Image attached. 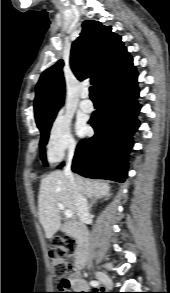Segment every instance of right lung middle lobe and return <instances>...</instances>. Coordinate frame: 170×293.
Here are the masks:
<instances>
[{"mask_svg":"<svg viewBox=\"0 0 170 293\" xmlns=\"http://www.w3.org/2000/svg\"><path fill=\"white\" fill-rule=\"evenodd\" d=\"M51 124H48L42 128H40V131H41V140H40V150H41V158L44 162L45 165H47V162H46V158H45V145L47 144V141H48V137H49V130L51 128Z\"/></svg>","mask_w":170,"mask_h":293,"instance_id":"1","label":"right lung middle lobe"}]
</instances>
